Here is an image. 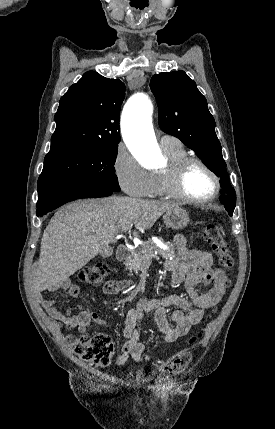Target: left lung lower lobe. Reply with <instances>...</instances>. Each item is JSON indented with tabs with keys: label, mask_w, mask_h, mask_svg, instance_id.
Instances as JSON below:
<instances>
[{
	"label": "left lung lower lobe",
	"mask_w": 275,
	"mask_h": 429,
	"mask_svg": "<svg viewBox=\"0 0 275 429\" xmlns=\"http://www.w3.org/2000/svg\"><path fill=\"white\" fill-rule=\"evenodd\" d=\"M222 193H225V191L223 190ZM223 197H225V196H222L221 198H223ZM221 198H220V200H221Z\"/></svg>",
	"instance_id": "1"
}]
</instances>
